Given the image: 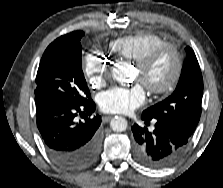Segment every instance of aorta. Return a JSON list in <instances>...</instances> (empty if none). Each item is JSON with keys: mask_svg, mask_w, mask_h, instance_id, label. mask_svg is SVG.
Returning a JSON list of instances; mask_svg holds the SVG:
<instances>
[{"mask_svg": "<svg viewBox=\"0 0 223 188\" xmlns=\"http://www.w3.org/2000/svg\"><path fill=\"white\" fill-rule=\"evenodd\" d=\"M112 76L118 82H128L132 76V67L128 62L122 61L114 64ZM127 120L123 117H115L110 122V127L115 132H123L127 129Z\"/></svg>", "mask_w": 223, "mask_h": 188, "instance_id": "1", "label": "aorta"}]
</instances>
